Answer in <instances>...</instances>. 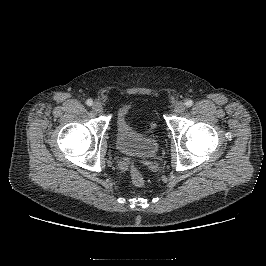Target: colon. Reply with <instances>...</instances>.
<instances>
[{
    "label": "colon",
    "instance_id": "5ec220e1",
    "mask_svg": "<svg viewBox=\"0 0 266 266\" xmlns=\"http://www.w3.org/2000/svg\"><path fill=\"white\" fill-rule=\"evenodd\" d=\"M130 175L132 183L137 187H142L145 184V179L142 173L139 171L136 163H132L130 168Z\"/></svg>",
    "mask_w": 266,
    "mask_h": 266
}]
</instances>
